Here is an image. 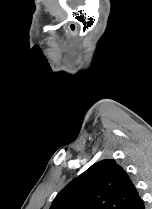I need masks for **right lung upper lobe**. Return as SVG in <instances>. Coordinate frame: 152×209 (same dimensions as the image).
Masks as SVG:
<instances>
[{
	"mask_svg": "<svg viewBox=\"0 0 152 209\" xmlns=\"http://www.w3.org/2000/svg\"><path fill=\"white\" fill-rule=\"evenodd\" d=\"M136 194L126 171L115 160L105 159L62 189L50 209H125Z\"/></svg>",
	"mask_w": 152,
	"mask_h": 209,
	"instance_id": "right-lung-upper-lobe-1",
	"label": "right lung upper lobe"
}]
</instances>
